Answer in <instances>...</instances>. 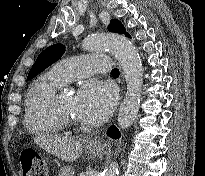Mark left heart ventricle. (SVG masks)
<instances>
[{"instance_id":"obj_1","label":"left heart ventricle","mask_w":205,"mask_h":176,"mask_svg":"<svg viewBox=\"0 0 205 176\" xmlns=\"http://www.w3.org/2000/svg\"><path fill=\"white\" fill-rule=\"evenodd\" d=\"M60 102L63 109L71 115L78 117L76 114V97L75 95H61Z\"/></svg>"}]
</instances>
